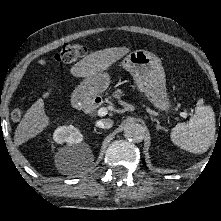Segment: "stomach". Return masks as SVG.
<instances>
[{"mask_svg":"<svg viewBox=\"0 0 221 221\" xmlns=\"http://www.w3.org/2000/svg\"><path fill=\"white\" fill-rule=\"evenodd\" d=\"M121 64L156 109L166 112L170 110L171 103L166 89L164 69L154 53L146 50L132 51L126 55ZM109 84L110 76L104 71L97 72L83 80L75 89L73 97L88 102L103 93Z\"/></svg>","mask_w":221,"mask_h":221,"instance_id":"stomach-1","label":"stomach"}]
</instances>
